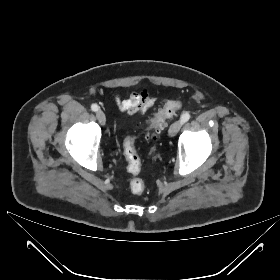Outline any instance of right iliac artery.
Returning <instances> with one entry per match:
<instances>
[{
    "label": "right iliac artery",
    "instance_id": "1",
    "mask_svg": "<svg viewBox=\"0 0 280 280\" xmlns=\"http://www.w3.org/2000/svg\"><path fill=\"white\" fill-rule=\"evenodd\" d=\"M91 109H92V111L96 112V111H98L99 107L96 104H92Z\"/></svg>",
    "mask_w": 280,
    "mask_h": 280
}]
</instances>
